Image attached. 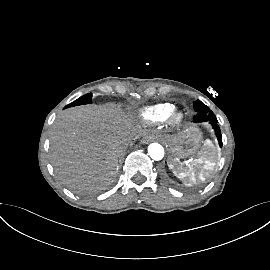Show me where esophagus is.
<instances>
[{
  "instance_id": "obj_1",
  "label": "esophagus",
  "mask_w": 270,
  "mask_h": 270,
  "mask_svg": "<svg viewBox=\"0 0 270 270\" xmlns=\"http://www.w3.org/2000/svg\"><path fill=\"white\" fill-rule=\"evenodd\" d=\"M151 141V137L147 136L142 140V143H148Z\"/></svg>"
}]
</instances>
